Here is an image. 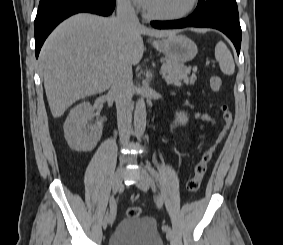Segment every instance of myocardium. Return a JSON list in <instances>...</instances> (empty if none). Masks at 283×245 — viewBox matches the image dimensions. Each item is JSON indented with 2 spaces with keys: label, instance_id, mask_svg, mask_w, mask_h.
Listing matches in <instances>:
<instances>
[{
  "label": "myocardium",
  "instance_id": "obj_1",
  "mask_svg": "<svg viewBox=\"0 0 283 245\" xmlns=\"http://www.w3.org/2000/svg\"><path fill=\"white\" fill-rule=\"evenodd\" d=\"M199 0H190L189 5L179 13L176 14H156L148 11L146 8L144 9V14L146 17L154 20H162V21H173L179 20L190 15L198 6Z\"/></svg>",
  "mask_w": 283,
  "mask_h": 245
}]
</instances>
